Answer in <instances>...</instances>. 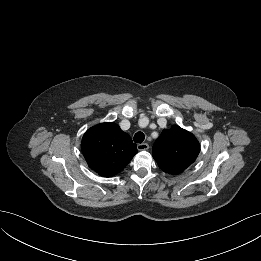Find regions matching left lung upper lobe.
Listing matches in <instances>:
<instances>
[{
	"mask_svg": "<svg viewBox=\"0 0 261 261\" xmlns=\"http://www.w3.org/2000/svg\"><path fill=\"white\" fill-rule=\"evenodd\" d=\"M200 145L196 137L179 126L164 129L153 145V157L161 170L177 175L197 158Z\"/></svg>",
	"mask_w": 261,
	"mask_h": 261,
	"instance_id": "1",
	"label": "left lung upper lobe"
}]
</instances>
